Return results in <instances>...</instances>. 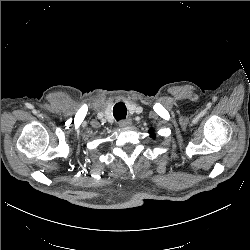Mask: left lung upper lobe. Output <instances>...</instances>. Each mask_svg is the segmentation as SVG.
Listing matches in <instances>:
<instances>
[{
	"label": "left lung upper lobe",
	"mask_w": 250,
	"mask_h": 250,
	"mask_svg": "<svg viewBox=\"0 0 250 250\" xmlns=\"http://www.w3.org/2000/svg\"><path fill=\"white\" fill-rule=\"evenodd\" d=\"M149 133H150V136H151L152 138L155 137V134H154V130H153V129H150V130H149Z\"/></svg>",
	"instance_id": "5c2ea615"
}]
</instances>
